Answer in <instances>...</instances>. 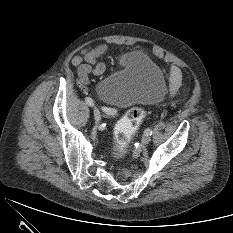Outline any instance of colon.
<instances>
[{
  "instance_id": "1",
  "label": "colon",
  "mask_w": 233,
  "mask_h": 233,
  "mask_svg": "<svg viewBox=\"0 0 233 233\" xmlns=\"http://www.w3.org/2000/svg\"><path fill=\"white\" fill-rule=\"evenodd\" d=\"M144 118L145 111L141 108L134 107L126 112L115 128L117 151H124L128 147Z\"/></svg>"
}]
</instances>
